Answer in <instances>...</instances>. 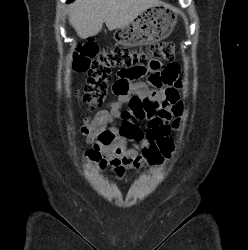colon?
Wrapping results in <instances>:
<instances>
[{
  "label": "colon",
  "mask_w": 248,
  "mask_h": 250,
  "mask_svg": "<svg viewBox=\"0 0 248 250\" xmlns=\"http://www.w3.org/2000/svg\"><path fill=\"white\" fill-rule=\"evenodd\" d=\"M176 55L173 42L162 41L149 45L146 49L104 47L99 49L94 42L80 44L73 54V69L78 73H87L88 81L80 93L81 100L91 109L100 106L107 98L111 81V70L122 68L123 74L130 79L141 75V67L149 65L155 72L150 75V83L157 89L165 90L166 101L179 112L178 93L173 87L175 77L169 71H159L163 61L171 60ZM131 111L137 119H144L151 114L159 103L149 98L133 96L130 101ZM155 141V158L158 163L168 157L172 151V139L169 133L157 135ZM92 157L93 151L87 152Z\"/></svg>",
  "instance_id": "1"
}]
</instances>
